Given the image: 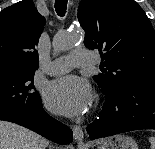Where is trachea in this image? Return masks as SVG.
Instances as JSON below:
<instances>
[{"instance_id": "3493384b", "label": "trachea", "mask_w": 155, "mask_h": 149, "mask_svg": "<svg viewBox=\"0 0 155 149\" xmlns=\"http://www.w3.org/2000/svg\"><path fill=\"white\" fill-rule=\"evenodd\" d=\"M68 0H55V10L57 14L63 17L66 13Z\"/></svg>"}]
</instances>
